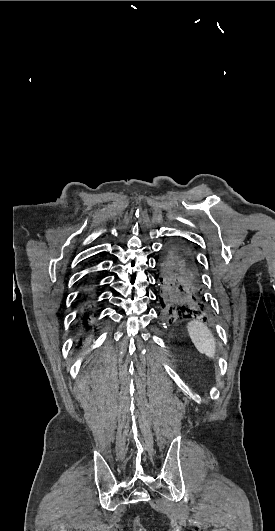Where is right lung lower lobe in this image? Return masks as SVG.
I'll return each mask as SVG.
<instances>
[{"instance_id": "obj_1", "label": "right lung lower lobe", "mask_w": 275, "mask_h": 531, "mask_svg": "<svg viewBox=\"0 0 275 531\" xmlns=\"http://www.w3.org/2000/svg\"><path fill=\"white\" fill-rule=\"evenodd\" d=\"M92 295L93 293L90 288L86 290L83 294L85 306L79 314L78 323L80 328L84 330V332H87L91 329V323L95 316L91 305H87V302L92 298Z\"/></svg>"}]
</instances>
